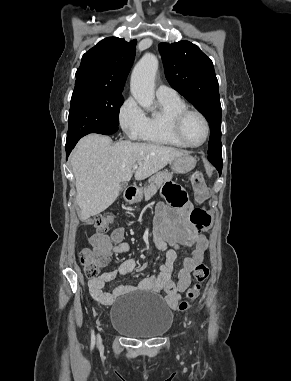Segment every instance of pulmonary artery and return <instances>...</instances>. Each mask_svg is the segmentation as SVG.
<instances>
[{"mask_svg": "<svg viewBox=\"0 0 291 381\" xmlns=\"http://www.w3.org/2000/svg\"><path fill=\"white\" fill-rule=\"evenodd\" d=\"M156 94L159 98H174L178 96L177 92L173 88L164 84H160L157 87Z\"/></svg>", "mask_w": 291, "mask_h": 381, "instance_id": "1", "label": "pulmonary artery"}]
</instances>
